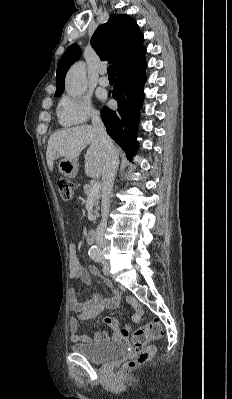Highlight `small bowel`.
Returning a JSON list of instances; mask_svg holds the SVG:
<instances>
[{
	"instance_id": "obj_1",
	"label": "small bowel",
	"mask_w": 232,
	"mask_h": 399,
	"mask_svg": "<svg viewBox=\"0 0 232 399\" xmlns=\"http://www.w3.org/2000/svg\"><path fill=\"white\" fill-rule=\"evenodd\" d=\"M101 273L98 268H91L90 272H86L79 264V253L74 244L69 248V340L72 343L84 344L87 342L86 337L79 333V327L82 321L95 318L99 315L103 307L116 308L119 303V297L102 298L98 293H93L86 299L79 301L78 299V285L81 282L88 283L94 276H100ZM102 282L106 287L110 286L108 278H102ZM127 301L134 309L133 319L135 323H139L143 317V309L137 303L135 297L129 295ZM106 322L113 330V337L118 338L125 333H130L133 330V325H120L113 317L106 318ZM94 338L99 339L100 333L95 332Z\"/></svg>"
}]
</instances>
